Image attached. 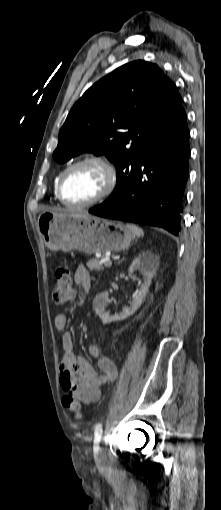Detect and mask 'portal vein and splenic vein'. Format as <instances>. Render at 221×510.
<instances>
[{"label":"portal vein and splenic vein","instance_id":"obj_1","mask_svg":"<svg viewBox=\"0 0 221 510\" xmlns=\"http://www.w3.org/2000/svg\"><path fill=\"white\" fill-rule=\"evenodd\" d=\"M102 263H103V261H100V264H102ZM104 263H105L106 266H110L112 264V261L108 258V259L105 260Z\"/></svg>","mask_w":221,"mask_h":510}]
</instances>
